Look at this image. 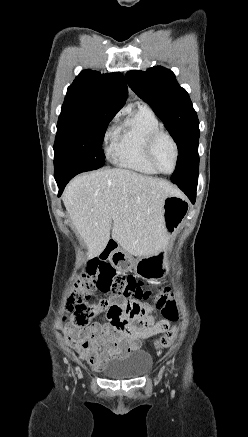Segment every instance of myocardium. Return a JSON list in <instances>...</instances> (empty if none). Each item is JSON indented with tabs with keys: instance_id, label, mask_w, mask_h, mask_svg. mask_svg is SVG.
<instances>
[{
	"instance_id": "myocardium-1",
	"label": "myocardium",
	"mask_w": 248,
	"mask_h": 437,
	"mask_svg": "<svg viewBox=\"0 0 248 437\" xmlns=\"http://www.w3.org/2000/svg\"><path fill=\"white\" fill-rule=\"evenodd\" d=\"M161 137L168 138L173 146V149H174V155H175L174 156V165H173V168L170 172L162 171L159 168V166L156 162V159H155V147H156L158 140ZM145 152H146V157H147L148 162L158 173L168 175V174L173 173L176 170L177 165H178V161H179V147H178L177 141L169 132L160 128V129L155 130L153 133H151L147 139V142H146Z\"/></svg>"
}]
</instances>
